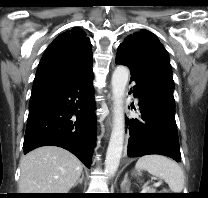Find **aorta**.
Listing matches in <instances>:
<instances>
[{"mask_svg": "<svg viewBox=\"0 0 208 198\" xmlns=\"http://www.w3.org/2000/svg\"><path fill=\"white\" fill-rule=\"evenodd\" d=\"M129 78V69L118 66L112 75V98L114 104L113 128L110 136L105 159V172L113 177L119 167L123 151L125 120L123 113V99Z\"/></svg>", "mask_w": 208, "mask_h": 198, "instance_id": "obj_1", "label": "aorta"}]
</instances>
